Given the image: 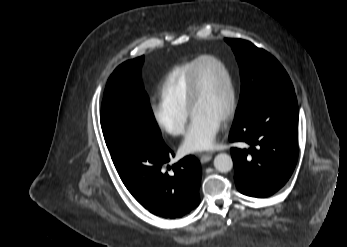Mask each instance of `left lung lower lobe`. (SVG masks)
Wrapping results in <instances>:
<instances>
[{
	"instance_id": "left-lung-lower-lobe-1",
	"label": "left lung lower lobe",
	"mask_w": 347,
	"mask_h": 247,
	"mask_svg": "<svg viewBox=\"0 0 347 247\" xmlns=\"http://www.w3.org/2000/svg\"><path fill=\"white\" fill-rule=\"evenodd\" d=\"M230 142L238 190L252 197L277 192L290 178L298 157V106L295 93L264 98L233 123Z\"/></svg>"
}]
</instances>
